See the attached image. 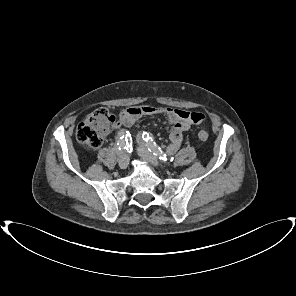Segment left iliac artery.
Returning <instances> with one entry per match:
<instances>
[{
  "instance_id": "left-iliac-artery-1",
  "label": "left iliac artery",
  "mask_w": 296,
  "mask_h": 296,
  "mask_svg": "<svg viewBox=\"0 0 296 296\" xmlns=\"http://www.w3.org/2000/svg\"><path fill=\"white\" fill-rule=\"evenodd\" d=\"M138 141L145 142V144L148 147V150L150 152H153V154L155 156L159 157L160 160L166 161L165 157L167 155L161 150L160 147H158L156 145L155 141L152 139V137L147 132H143L142 134H139Z\"/></svg>"
}]
</instances>
